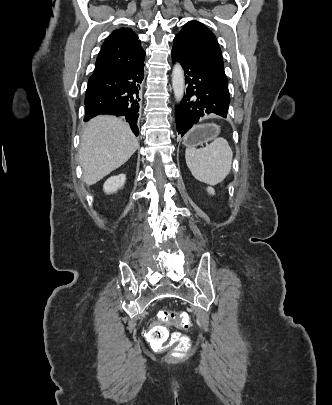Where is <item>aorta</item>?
I'll list each match as a JSON object with an SVG mask.
<instances>
[{
  "label": "aorta",
  "instance_id": "aorta-1",
  "mask_svg": "<svg viewBox=\"0 0 332 405\" xmlns=\"http://www.w3.org/2000/svg\"><path fill=\"white\" fill-rule=\"evenodd\" d=\"M172 88L176 103H180L185 91V76L180 63H176L172 71Z\"/></svg>",
  "mask_w": 332,
  "mask_h": 405
}]
</instances>
